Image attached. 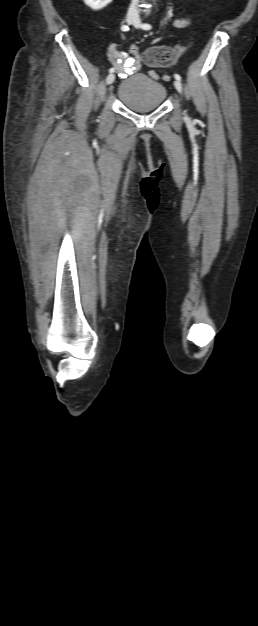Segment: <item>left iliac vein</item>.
Listing matches in <instances>:
<instances>
[{
	"instance_id": "obj_1",
	"label": "left iliac vein",
	"mask_w": 258,
	"mask_h": 626,
	"mask_svg": "<svg viewBox=\"0 0 258 626\" xmlns=\"http://www.w3.org/2000/svg\"><path fill=\"white\" fill-rule=\"evenodd\" d=\"M133 25H134L136 28H140V27H141V21H140V19H137V20L134 22V24H133ZM174 86H175V88L177 89V91H178L179 93H182V84H181V82H180L179 80H177V79H176V80L174 81Z\"/></svg>"
}]
</instances>
